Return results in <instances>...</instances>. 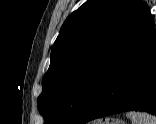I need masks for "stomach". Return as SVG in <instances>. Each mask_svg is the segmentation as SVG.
Here are the masks:
<instances>
[{
  "label": "stomach",
  "mask_w": 156,
  "mask_h": 124,
  "mask_svg": "<svg viewBox=\"0 0 156 124\" xmlns=\"http://www.w3.org/2000/svg\"><path fill=\"white\" fill-rule=\"evenodd\" d=\"M107 124H124V122H122V121H119V120H114V121H112V122H107Z\"/></svg>",
  "instance_id": "0dacf381"
}]
</instances>
